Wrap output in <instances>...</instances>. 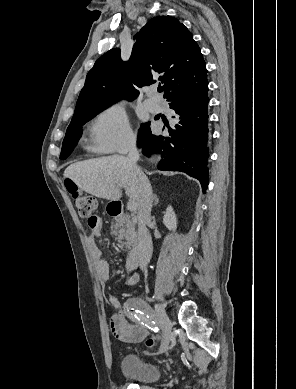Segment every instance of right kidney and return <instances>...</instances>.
Here are the masks:
<instances>
[{
  "label": "right kidney",
  "mask_w": 296,
  "mask_h": 389,
  "mask_svg": "<svg viewBox=\"0 0 296 389\" xmlns=\"http://www.w3.org/2000/svg\"><path fill=\"white\" fill-rule=\"evenodd\" d=\"M163 224L169 229V230H175L177 227V218L175 215V212L173 211L171 206H168L166 209V213L163 217Z\"/></svg>",
  "instance_id": "right-kidney-1"
}]
</instances>
